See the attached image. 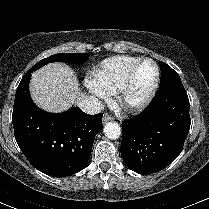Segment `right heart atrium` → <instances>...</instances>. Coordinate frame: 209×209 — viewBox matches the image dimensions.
I'll return each mask as SVG.
<instances>
[{"mask_svg": "<svg viewBox=\"0 0 209 209\" xmlns=\"http://www.w3.org/2000/svg\"><path fill=\"white\" fill-rule=\"evenodd\" d=\"M85 85L88 91L100 100H108L109 94H107L93 79H87Z\"/></svg>", "mask_w": 209, "mask_h": 209, "instance_id": "d8ad5b80", "label": "right heart atrium"}]
</instances>
